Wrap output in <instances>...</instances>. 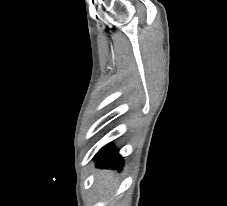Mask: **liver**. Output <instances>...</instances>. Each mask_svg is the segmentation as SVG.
<instances>
[{
    "mask_svg": "<svg viewBox=\"0 0 227 206\" xmlns=\"http://www.w3.org/2000/svg\"><path fill=\"white\" fill-rule=\"evenodd\" d=\"M97 189L100 194H108L111 192L113 187V174L107 170L100 171L97 179Z\"/></svg>",
    "mask_w": 227,
    "mask_h": 206,
    "instance_id": "obj_1",
    "label": "liver"
}]
</instances>
